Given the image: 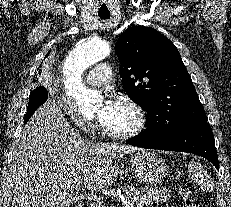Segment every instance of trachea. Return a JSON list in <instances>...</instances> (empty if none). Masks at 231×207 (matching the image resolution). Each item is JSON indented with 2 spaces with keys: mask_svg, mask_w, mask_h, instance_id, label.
I'll return each mask as SVG.
<instances>
[{
  "mask_svg": "<svg viewBox=\"0 0 231 207\" xmlns=\"http://www.w3.org/2000/svg\"><path fill=\"white\" fill-rule=\"evenodd\" d=\"M99 17H100L101 19L106 20V19H109V18H110V15H99Z\"/></svg>",
  "mask_w": 231,
  "mask_h": 207,
  "instance_id": "obj_1",
  "label": "trachea"
}]
</instances>
